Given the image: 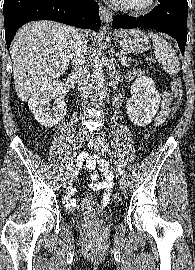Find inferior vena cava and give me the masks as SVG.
I'll list each match as a JSON object with an SVG mask.
<instances>
[{"label":"inferior vena cava","instance_id":"inferior-vena-cava-1","mask_svg":"<svg viewBox=\"0 0 195 270\" xmlns=\"http://www.w3.org/2000/svg\"><path fill=\"white\" fill-rule=\"evenodd\" d=\"M73 78L78 84L84 104L92 90V82L89 71V59L87 56V42L83 34H77L73 45L72 54Z\"/></svg>","mask_w":195,"mask_h":270}]
</instances>
